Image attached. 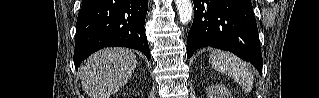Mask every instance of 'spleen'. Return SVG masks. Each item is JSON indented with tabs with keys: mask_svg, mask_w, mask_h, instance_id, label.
<instances>
[{
	"mask_svg": "<svg viewBox=\"0 0 319 98\" xmlns=\"http://www.w3.org/2000/svg\"><path fill=\"white\" fill-rule=\"evenodd\" d=\"M210 60L217 71L231 76L244 90H251L253 71L248 64L235 55L220 50L213 51Z\"/></svg>",
	"mask_w": 319,
	"mask_h": 98,
	"instance_id": "1",
	"label": "spleen"
}]
</instances>
